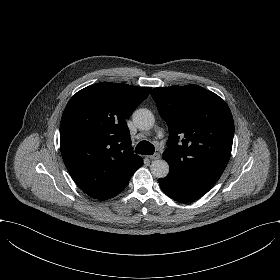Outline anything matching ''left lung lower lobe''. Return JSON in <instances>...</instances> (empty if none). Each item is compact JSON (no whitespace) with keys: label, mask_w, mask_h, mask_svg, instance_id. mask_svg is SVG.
Instances as JSON below:
<instances>
[{"label":"left lung lower lobe","mask_w":280,"mask_h":280,"mask_svg":"<svg viewBox=\"0 0 280 280\" xmlns=\"http://www.w3.org/2000/svg\"><path fill=\"white\" fill-rule=\"evenodd\" d=\"M159 184L170 198L188 203L206 194L215 182L202 179L181 180L178 176L169 173L165 178L159 179Z\"/></svg>","instance_id":"left-lung-lower-lobe-1"}]
</instances>
